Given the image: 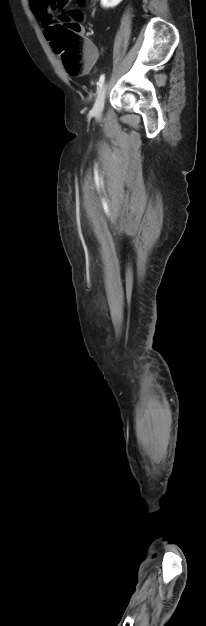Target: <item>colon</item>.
<instances>
[{"label":"colon","instance_id":"1","mask_svg":"<svg viewBox=\"0 0 206 626\" xmlns=\"http://www.w3.org/2000/svg\"><path fill=\"white\" fill-rule=\"evenodd\" d=\"M46 9H65L71 0H42ZM95 0H76L80 8L91 7ZM83 15L80 10H72L70 17H63L62 22L53 26L51 31L52 47L60 54L66 70L71 75H79L85 67L84 41L81 36L80 22Z\"/></svg>","mask_w":206,"mask_h":626}]
</instances>
